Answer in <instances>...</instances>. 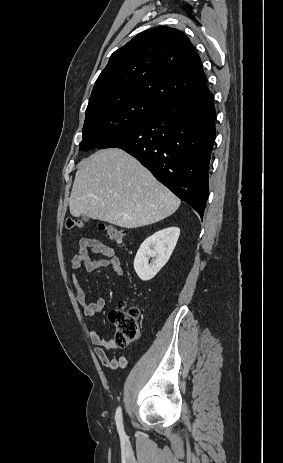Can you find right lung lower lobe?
Listing matches in <instances>:
<instances>
[{"label":"right lung lower lobe","mask_w":283,"mask_h":463,"mask_svg":"<svg viewBox=\"0 0 283 463\" xmlns=\"http://www.w3.org/2000/svg\"><path fill=\"white\" fill-rule=\"evenodd\" d=\"M214 140L215 107L207 91L161 105L98 149L125 150L202 218Z\"/></svg>","instance_id":"1"}]
</instances>
